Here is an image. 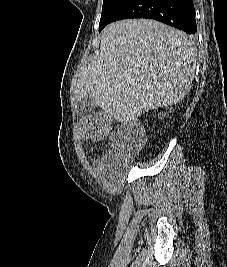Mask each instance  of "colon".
Segmentation results:
<instances>
[{
    "mask_svg": "<svg viewBox=\"0 0 227 267\" xmlns=\"http://www.w3.org/2000/svg\"><path fill=\"white\" fill-rule=\"evenodd\" d=\"M111 118L105 113H95L82 118L79 129L83 138L98 141L109 132ZM118 138L130 152L140 151L146 140V134L142 128L133 122L125 123L118 134Z\"/></svg>",
    "mask_w": 227,
    "mask_h": 267,
    "instance_id": "obj_1",
    "label": "colon"
}]
</instances>
